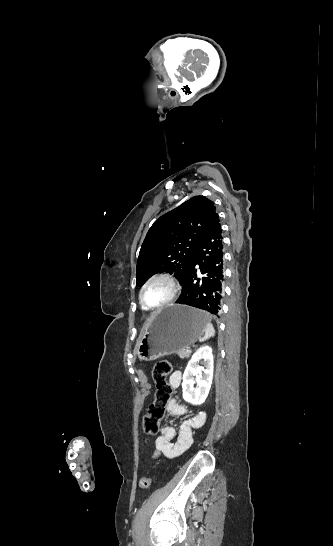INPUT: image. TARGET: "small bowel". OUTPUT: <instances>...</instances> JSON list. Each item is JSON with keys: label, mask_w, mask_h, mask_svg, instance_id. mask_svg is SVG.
I'll list each match as a JSON object with an SVG mask.
<instances>
[{"label": "small bowel", "mask_w": 333, "mask_h": 546, "mask_svg": "<svg viewBox=\"0 0 333 546\" xmlns=\"http://www.w3.org/2000/svg\"><path fill=\"white\" fill-rule=\"evenodd\" d=\"M182 379V372L178 370L170 375L169 382L174 388H178L182 383ZM166 409L172 416H181L189 413L187 407L180 404L176 399H171ZM206 417L205 412L195 414L180 425L178 433L173 426H163L159 436L155 440L157 453H162L167 458H175L183 454L192 445L194 430L201 428L205 424Z\"/></svg>", "instance_id": "obj_1"}]
</instances>
